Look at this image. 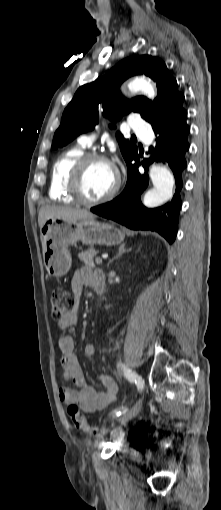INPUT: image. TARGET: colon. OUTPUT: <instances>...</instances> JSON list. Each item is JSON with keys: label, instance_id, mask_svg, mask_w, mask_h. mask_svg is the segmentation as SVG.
Returning a JSON list of instances; mask_svg holds the SVG:
<instances>
[{"label": "colon", "instance_id": "1", "mask_svg": "<svg viewBox=\"0 0 221 510\" xmlns=\"http://www.w3.org/2000/svg\"><path fill=\"white\" fill-rule=\"evenodd\" d=\"M75 306L73 294L65 287L58 286L52 291L51 295V316L59 320L69 313ZM68 413L73 425L88 434H95L96 429L89 425L86 416L79 410L76 404H70Z\"/></svg>", "mask_w": 221, "mask_h": 510}]
</instances>
